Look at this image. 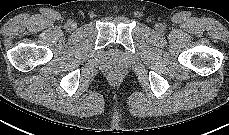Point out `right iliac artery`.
<instances>
[{"mask_svg": "<svg viewBox=\"0 0 229 135\" xmlns=\"http://www.w3.org/2000/svg\"><path fill=\"white\" fill-rule=\"evenodd\" d=\"M69 24H70V21L67 23V26H69Z\"/></svg>", "mask_w": 229, "mask_h": 135, "instance_id": "82829eb1", "label": "right iliac artery"}]
</instances>
